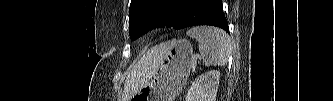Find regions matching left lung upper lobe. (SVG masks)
Segmentation results:
<instances>
[{
	"label": "left lung upper lobe",
	"instance_id": "obj_1",
	"mask_svg": "<svg viewBox=\"0 0 333 101\" xmlns=\"http://www.w3.org/2000/svg\"><path fill=\"white\" fill-rule=\"evenodd\" d=\"M183 8L181 0H131L129 8L131 40H135L154 26L166 25L178 30Z\"/></svg>",
	"mask_w": 333,
	"mask_h": 101
}]
</instances>
